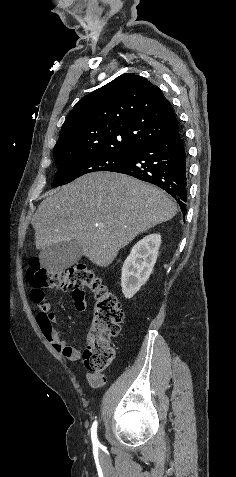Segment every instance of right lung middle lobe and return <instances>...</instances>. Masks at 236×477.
<instances>
[{
	"instance_id": "1",
	"label": "right lung middle lobe",
	"mask_w": 236,
	"mask_h": 477,
	"mask_svg": "<svg viewBox=\"0 0 236 477\" xmlns=\"http://www.w3.org/2000/svg\"><path fill=\"white\" fill-rule=\"evenodd\" d=\"M54 159L59 169L52 186H60L88 173L111 171L125 164L129 156L87 153L73 157H58Z\"/></svg>"
}]
</instances>
